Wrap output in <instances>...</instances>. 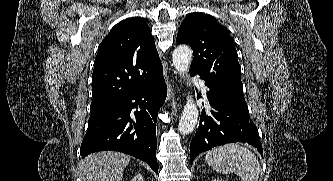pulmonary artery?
Instances as JSON below:
<instances>
[{
  "label": "pulmonary artery",
  "mask_w": 333,
  "mask_h": 181,
  "mask_svg": "<svg viewBox=\"0 0 333 181\" xmlns=\"http://www.w3.org/2000/svg\"><path fill=\"white\" fill-rule=\"evenodd\" d=\"M193 83L196 84L197 86H199V88L202 90V93L204 95V97H206V93H207V87L205 86L204 82L202 80H200L197 77H194L192 79Z\"/></svg>",
  "instance_id": "obj_1"
}]
</instances>
